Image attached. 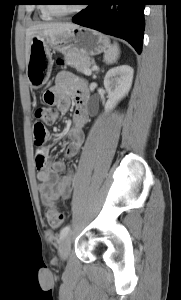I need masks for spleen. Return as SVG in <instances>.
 <instances>
[{"mask_svg":"<svg viewBox=\"0 0 181 300\" xmlns=\"http://www.w3.org/2000/svg\"><path fill=\"white\" fill-rule=\"evenodd\" d=\"M120 54L118 44L115 42L105 53L104 60L107 64H113L117 61Z\"/></svg>","mask_w":181,"mask_h":300,"instance_id":"spleen-1","label":"spleen"}]
</instances>
